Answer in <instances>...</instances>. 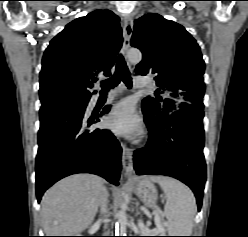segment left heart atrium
<instances>
[{
	"instance_id": "left-heart-atrium-1",
	"label": "left heart atrium",
	"mask_w": 248,
	"mask_h": 237,
	"mask_svg": "<svg viewBox=\"0 0 248 237\" xmlns=\"http://www.w3.org/2000/svg\"><path fill=\"white\" fill-rule=\"evenodd\" d=\"M106 125L114 133L126 137L136 136L141 129L134 106L129 101H122L111 109Z\"/></svg>"
}]
</instances>
